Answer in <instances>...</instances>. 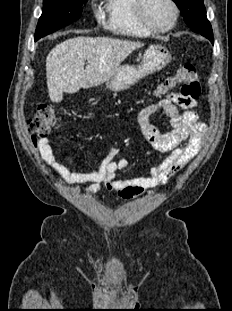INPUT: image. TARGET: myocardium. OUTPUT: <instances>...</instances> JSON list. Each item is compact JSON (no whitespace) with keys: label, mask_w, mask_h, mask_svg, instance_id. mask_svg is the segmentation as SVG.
<instances>
[{"label":"myocardium","mask_w":232,"mask_h":311,"mask_svg":"<svg viewBox=\"0 0 232 311\" xmlns=\"http://www.w3.org/2000/svg\"><path fill=\"white\" fill-rule=\"evenodd\" d=\"M146 1L147 0H135L134 3L135 16L142 27L151 33H164L172 30L176 26L179 17V8L174 0H167L173 9V19L170 25L166 27H156L147 20L145 15Z\"/></svg>","instance_id":"f54148a6"}]
</instances>
